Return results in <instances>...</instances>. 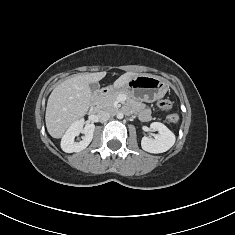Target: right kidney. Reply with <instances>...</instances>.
<instances>
[{
    "label": "right kidney",
    "instance_id": "1",
    "mask_svg": "<svg viewBox=\"0 0 235 235\" xmlns=\"http://www.w3.org/2000/svg\"><path fill=\"white\" fill-rule=\"evenodd\" d=\"M95 129L94 124H86L83 127L81 121L74 122L65 135L62 137L61 148L66 153L80 152L84 150L93 139V132ZM80 133L84 134L81 141L75 142L74 139Z\"/></svg>",
    "mask_w": 235,
    "mask_h": 235
}]
</instances>
